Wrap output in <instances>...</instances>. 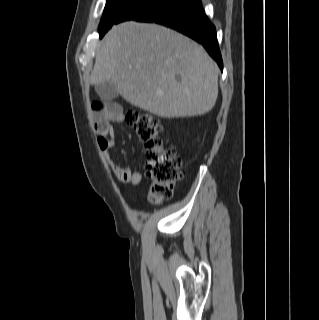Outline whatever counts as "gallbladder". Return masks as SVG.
<instances>
[{
	"mask_svg": "<svg viewBox=\"0 0 319 320\" xmlns=\"http://www.w3.org/2000/svg\"><path fill=\"white\" fill-rule=\"evenodd\" d=\"M95 90L100 98L106 101H110L119 95L116 87L110 81L96 84Z\"/></svg>",
	"mask_w": 319,
	"mask_h": 320,
	"instance_id": "obj_1",
	"label": "gallbladder"
}]
</instances>
